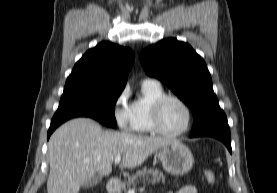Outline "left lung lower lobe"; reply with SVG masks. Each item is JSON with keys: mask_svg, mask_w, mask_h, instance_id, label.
Segmentation results:
<instances>
[{"mask_svg": "<svg viewBox=\"0 0 277 193\" xmlns=\"http://www.w3.org/2000/svg\"><path fill=\"white\" fill-rule=\"evenodd\" d=\"M203 136L214 137L221 140L226 145L230 153H232L230 128L227 119L216 121L203 129L190 134L191 138Z\"/></svg>", "mask_w": 277, "mask_h": 193, "instance_id": "0a47b994", "label": "left lung lower lobe"}]
</instances>
